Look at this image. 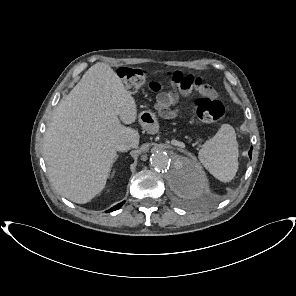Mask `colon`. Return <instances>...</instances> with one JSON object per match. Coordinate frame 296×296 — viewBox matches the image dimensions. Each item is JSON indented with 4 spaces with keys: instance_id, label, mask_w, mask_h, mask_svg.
<instances>
[{
    "instance_id": "1",
    "label": "colon",
    "mask_w": 296,
    "mask_h": 296,
    "mask_svg": "<svg viewBox=\"0 0 296 296\" xmlns=\"http://www.w3.org/2000/svg\"><path fill=\"white\" fill-rule=\"evenodd\" d=\"M119 74L126 87L130 90H137L142 87L147 78L146 71L140 68L122 67L119 70ZM167 76L173 85L183 93L195 89L207 94L210 89L203 78L193 74L175 71ZM193 108L197 119L203 123L218 121L225 112L223 104L219 100L210 97L196 99Z\"/></svg>"
}]
</instances>
